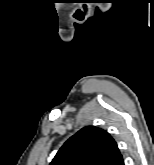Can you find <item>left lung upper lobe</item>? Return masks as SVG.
<instances>
[{"label":"left lung upper lobe","instance_id":"obj_1","mask_svg":"<svg viewBox=\"0 0 154 165\" xmlns=\"http://www.w3.org/2000/svg\"><path fill=\"white\" fill-rule=\"evenodd\" d=\"M121 160L114 139L105 130L87 126L64 143L50 165H118Z\"/></svg>","mask_w":154,"mask_h":165}]
</instances>
